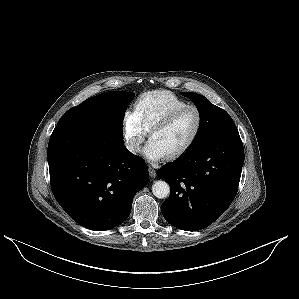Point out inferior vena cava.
Listing matches in <instances>:
<instances>
[{
    "label": "inferior vena cava",
    "mask_w": 299,
    "mask_h": 299,
    "mask_svg": "<svg viewBox=\"0 0 299 299\" xmlns=\"http://www.w3.org/2000/svg\"><path fill=\"white\" fill-rule=\"evenodd\" d=\"M125 145H126L127 149L133 154H136L140 151L139 144H137L133 141L126 142Z\"/></svg>",
    "instance_id": "602c4592"
}]
</instances>
